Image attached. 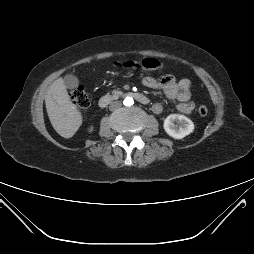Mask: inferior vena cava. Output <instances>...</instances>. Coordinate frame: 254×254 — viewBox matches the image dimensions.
Returning a JSON list of instances; mask_svg holds the SVG:
<instances>
[{"instance_id":"inferior-vena-cava-1","label":"inferior vena cava","mask_w":254,"mask_h":254,"mask_svg":"<svg viewBox=\"0 0 254 254\" xmlns=\"http://www.w3.org/2000/svg\"><path fill=\"white\" fill-rule=\"evenodd\" d=\"M121 106H122V104H121L120 101H114V102H112V103L109 105V109H110L111 111H113V110L119 109Z\"/></svg>"}]
</instances>
